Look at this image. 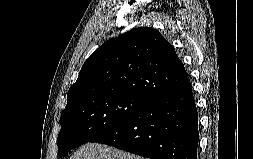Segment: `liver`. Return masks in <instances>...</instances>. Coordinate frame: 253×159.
Wrapping results in <instances>:
<instances>
[{
    "label": "liver",
    "instance_id": "obj_1",
    "mask_svg": "<svg viewBox=\"0 0 253 159\" xmlns=\"http://www.w3.org/2000/svg\"><path fill=\"white\" fill-rule=\"evenodd\" d=\"M70 159H147L111 146L87 143L81 146Z\"/></svg>",
    "mask_w": 253,
    "mask_h": 159
}]
</instances>
